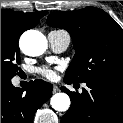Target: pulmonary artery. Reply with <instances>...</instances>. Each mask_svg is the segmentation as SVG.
<instances>
[{"mask_svg":"<svg viewBox=\"0 0 123 123\" xmlns=\"http://www.w3.org/2000/svg\"><path fill=\"white\" fill-rule=\"evenodd\" d=\"M50 48L55 53L64 52L70 44V35L64 30H52L48 33Z\"/></svg>","mask_w":123,"mask_h":123,"instance_id":"1","label":"pulmonary artery"}]
</instances>
